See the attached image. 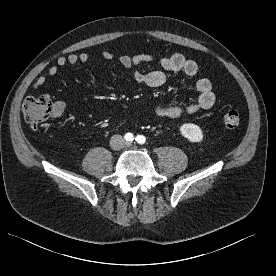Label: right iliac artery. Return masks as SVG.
I'll return each instance as SVG.
<instances>
[{
	"label": "right iliac artery",
	"instance_id": "obj_1",
	"mask_svg": "<svg viewBox=\"0 0 276 276\" xmlns=\"http://www.w3.org/2000/svg\"><path fill=\"white\" fill-rule=\"evenodd\" d=\"M124 139L127 142H132L134 140V135L132 133H126L125 136H124Z\"/></svg>",
	"mask_w": 276,
	"mask_h": 276
}]
</instances>
